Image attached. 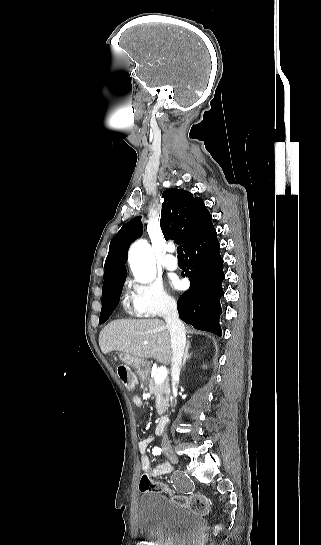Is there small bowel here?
<instances>
[{"instance_id": "1", "label": "small bowel", "mask_w": 321, "mask_h": 545, "mask_svg": "<svg viewBox=\"0 0 321 545\" xmlns=\"http://www.w3.org/2000/svg\"><path fill=\"white\" fill-rule=\"evenodd\" d=\"M133 402L137 406L143 405V399L139 395L133 397ZM153 437H147L138 443V450L140 454V464L144 473H148L151 477L155 478L171 472L172 467L168 463L158 465L155 468L151 467L150 459L147 455V448L153 442Z\"/></svg>"}]
</instances>
